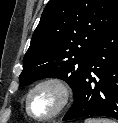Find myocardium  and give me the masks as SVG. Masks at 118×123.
<instances>
[{
    "mask_svg": "<svg viewBox=\"0 0 118 123\" xmlns=\"http://www.w3.org/2000/svg\"><path fill=\"white\" fill-rule=\"evenodd\" d=\"M47 86L54 87L59 92L60 94L59 104L57 108L51 114L47 116H42V117L36 116L32 113L30 109L31 96L34 94V92H36L40 88L47 87ZM71 95H72L71 88L64 79L57 77V76H51V77L41 79L38 82H36L28 90L26 94V97H25L26 113L28 114V116L38 121H48V120L54 119L66 109V107L68 106L71 100Z\"/></svg>",
    "mask_w": 118,
    "mask_h": 123,
    "instance_id": "obj_1",
    "label": "myocardium"
}]
</instances>
